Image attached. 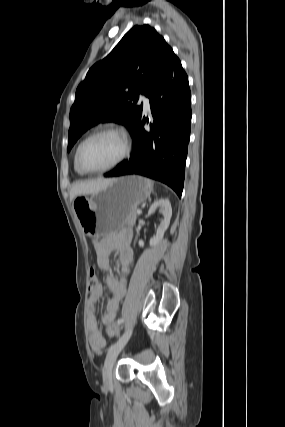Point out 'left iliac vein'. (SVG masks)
<instances>
[{
	"instance_id": "4c4485c4",
	"label": "left iliac vein",
	"mask_w": 285,
	"mask_h": 427,
	"mask_svg": "<svg viewBox=\"0 0 285 427\" xmlns=\"http://www.w3.org/2000/svg\"><path fill=\"white\" fill-rule=\"evenodd\" d=\"M132 333V329L126 331L120 339L112 345L105 359V363L102 369L103 381L106 387H111L112 385V368L116 361L117 356L121 352V350L125 347Z\"/></svg>"
}]
</instances>
